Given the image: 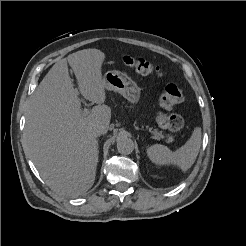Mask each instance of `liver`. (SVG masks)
<instances>
[{"instance_id":"liver-1","label":"liver","mask_w":246,"mask_h":246,"mask_svg":"<svg viewBox=\"0 0 246 246\" xmlns=\"http://www.w3.org/2000/svg\"><path fill=\"white\" fill-rule=\"evenodd\" d=\"M105 54L85 49L61 59L46 74L29 102L24 144L45 183L55 192L77 197L94 184L98 144L95 126L108 130L111 109L104 104L101 73ZM71 66L80 93L96 103L87 116L81 111L78 90L69 76Z\"/></svg>"}]
</instances>
